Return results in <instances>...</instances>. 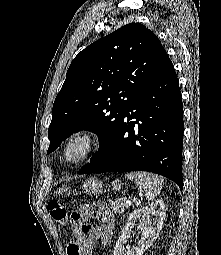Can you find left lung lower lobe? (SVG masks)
<instances>
[{
    "instance_id": "obj_1",
    "label": "left lung lower lobe",
    "mask_w": 221,
    "mask_h": 255,
    "mask_svg": "<svg viewBox=\"0 0 221 255\" xmlns=\"http://www.w3.org/2000/svg\"><path fill=\"white\" fill-rule=\"evenodd\" d=\"M183 104L166 54L153 78L126 109L105 146L78 174L149 171L182 190Z\"/></svg>"
}]
</instances>
